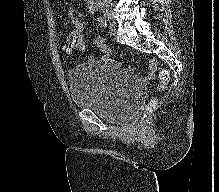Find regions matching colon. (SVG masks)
I'll use <instances>...</instances> for the list:
<instances>
[{
    "instance_id": "obj_1",
    "label": "colon",
    "mask_w": 219,
    "mask_h": 192,
    "mask_svg": "<svg viewBox=\"0 0 219 192\" xmlns=\"http://www.w3.org/2000/svg\"><path fill=\"white\" fill-rule=\"evenodd\" d=\"M68 49L70 52L72 51H83L84 47L83 44L80 40H74V41H69L68 42ZM170 79V75L169 72L165 69H162L159 73V87L161 89H164ZM156 110V100L155 99H151L148 103L147 106L145 108L144 114L141 118V123H147L151 117L154 115Z\"/></svg>"
}]
</instances>
